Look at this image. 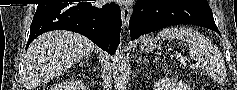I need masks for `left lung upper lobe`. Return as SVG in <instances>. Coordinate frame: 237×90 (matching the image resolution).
Returning <instances> with one entry per match:
<instances>
[{
	"instance_id": "left-lung-upper-lobe-1",
	"label": "left lung upper lobe",
	"mask_w": 237,
	"mask_h": 90,
	"mask_svg": "<svg viewBox=\"0 0 237 90\" xmlns=\"http://www.w3.org/2000/svg\"><path fill=\"white\" fill-rule=\"evenodd\" d=\"M191 4H195V5H205V6H209L206 0H185Z\"/></svg>"
}]
</instances>
